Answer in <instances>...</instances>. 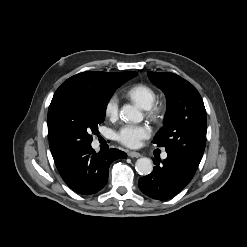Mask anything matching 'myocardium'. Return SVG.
<instances>
[{"label":"myocardium","mask_w":247,"mask_h":247,"mask_svg":"<svg viewBox=\"0 0 247 247\" xmlns=\"http://www.w3.org/2000/svg\"><path fill=\"white\" fill-rule=\"evenodd\" d=\"M164 110V104L156 102L149 109H147V115L152 121L157 122L161 119Z\"/></svg>","instance_id":"myocardium-1"}]
</instances>
